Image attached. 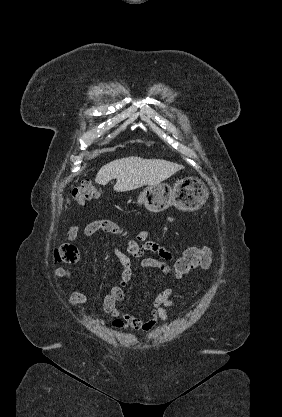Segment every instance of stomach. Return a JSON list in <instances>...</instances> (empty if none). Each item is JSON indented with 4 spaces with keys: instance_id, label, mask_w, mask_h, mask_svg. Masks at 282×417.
Wrapping results in <instances>:
<instances>
[{
    "instance_id": "1",
    "label": "stomach",
    "mask_w": 282,
    "mask_h": 417,
    "mask_svg": "<svg viewBox=\"0 0 282 417\" xmlns=\"http://www.w3.org/2000/svg\"><path fill=\"white\" fill-rule=\"evenodd\" d=\"M208 196V188L204 182H200L198 178H181L175 182L174 186L170 184H152L146 186L140 192L137 202L144 204L147 211L151 213H160L169 209V206H176L178 211H198L202 204L206 202Z\"/></svg>"
}]
</instances>
